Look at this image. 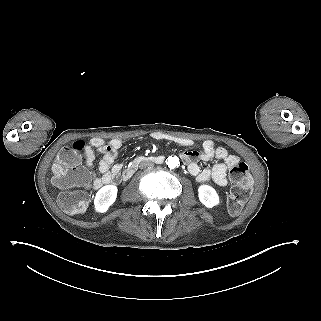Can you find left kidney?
Instances as JSON below:
<instances>
[{
    "label": "left kidney",
    "mask_w": 321,
    "mask_h": 321,
    "mask_svg": "<svg viewBox=\"0 0 321 321\" xmlns=\"http://www.w3.org/2000/svg\"><path fill=\"white\" fill-rule=\"evenodd\" d=\"M197 191L200 203L206 208L211 209L220 204L219 195L212 186L202 184L198 187Z\"/></svg>",
    "instance_id": "5707ae66"
}]
</instances>
